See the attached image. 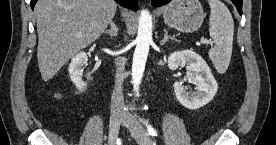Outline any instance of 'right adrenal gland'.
<instances>
[{
  "label": "right adrenal gland",
  "instance_id": "1",
  "mask_svg": "<svg viewBox=\"0 0 276 145\" xmlns=\"http://www.w3.org/2000/svg\"><path fill=\"white\" fill-rule=\"evenodd\" d=\"M110 27H111L110 29L104 31V34L109 35L111 38L117 37V35H118V27L114 23L113 20L110 21Z\"/></svg>",
  "mask_w": 276,
  "mask_h": 145
}]
</instances>
